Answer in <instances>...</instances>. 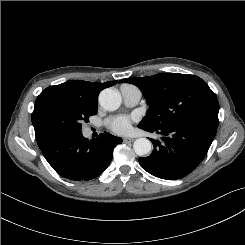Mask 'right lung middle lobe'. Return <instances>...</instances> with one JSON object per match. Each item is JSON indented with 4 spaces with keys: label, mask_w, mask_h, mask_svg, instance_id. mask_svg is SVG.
<instances>
[{
    "label": "right lung middle lobe",
    "mask_w": 245,
    "mask_h": 245,
    "mask_svg": "<svg viewBox=\"0 0 245 245\" xmlns=\"http://www.w3.org/2000/svg\"><path fill=\"white\" fill-rule=\"evenodd\" d=\"M97 113V104L87 103L66 91L48 87L37 97L32 123L38 144L57 136L82 133V121Z\"/></svg>",
    "instance_id": "obj_1"
}]
</instances>
